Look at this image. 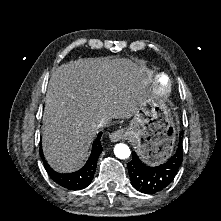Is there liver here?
<instances>
[{"instance_id": "1", "label": "liver", "mask_w": 221, "mask_h": 221, "mask_svg": "<svg viewBox=\"0 0 221 221\" xmlns=\"http://www.w3.org/2000/svg\"><path fill=\"white\" fill-rule=\"evenodd\" d=\"M144 67L125 58H85L60 65L45 98L42 145L58 172L84 165L102 118L134 116L145 89Z\"/></svg>"}]
</instances>
